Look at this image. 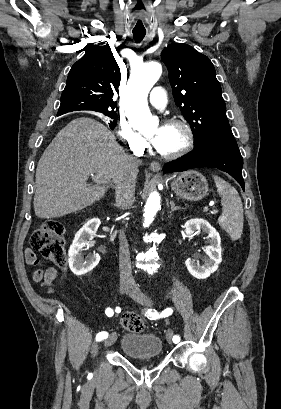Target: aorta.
<instances>
[{
	"label": "aorta",
	"mask_w": 281,
	"mask_h": 409,
	"mask_svg": "<svg viewBox=\"0 0 281 409\" xmlns=\"http://www.w3.org/2000/svg\"><path fill=\"white\" fill-rule=\"evenodd\" d=\"M161 73V64L150 62L135 68L131 74L126 99L127 113L134 129L140 132L150 131L158 125L149 110L147 97ZM160 207V195L156 191L152 192L144 208V226L152 223Z\"/></svg>",
	"instance_id": "aorta-1"
}]
</instances>
